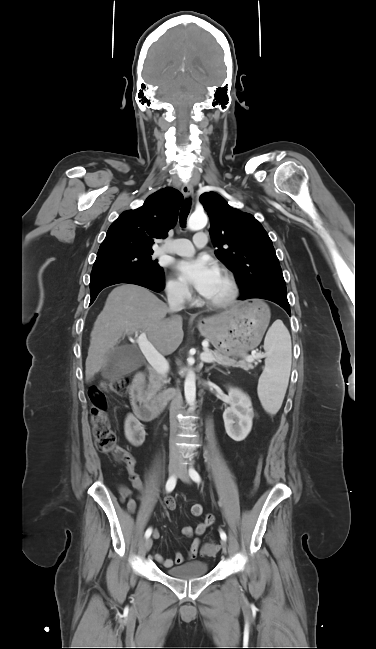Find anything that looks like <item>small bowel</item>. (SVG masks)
Returning <instances> with one entry per match:
<instances>
[{
  "label": "small bowel",
  "mask_w": 376,
  "mask_h": 649,
  "mask_svg": "<svg viewBox=\"0 0 376 649\" xmlns=\"http://www.w3.org/2000/svg\"><path fill=\"white\" fill-rule=\"evenodd\" d=\"M123 431L126 440L133 446H139L144 440L145 430L143 428V425L141 421L137 419L133 414H128L125 417L124 424H123ZM128 479L132 487L135 490H137L139 493H141L143 490V484L139 475L134 471V466L128 469ZM118 495L120 501L126 505L129 512L134 513L137 510V501L134 498H132V492L127 486L119 485ZM164 507L169 511L174 510L176 508V502L174 498L172 497L165 498ZM202 513H203V507L201 504H194L191 507V514L193 516L199 517L202 515ZM214 522H215L214 515L207 514L204 520L198 523L196 526L194 527L187 526L182 529L183 535L187 537L195 536V538L193 539L190 545L189 552L187 555V560L192 561L196 559L200 548L199 536L203 535L205 531ZM160 537H161L160 532L157 529H155L153 531V538L159 539ZM154 559L165 568H171L174 565L182 564L185 560V558L180 552H176L173 559L165 558L163 555L159 553H155Z\"/></svg>",
  "instance_id": "small-bowel-1"
}]
</instances>
